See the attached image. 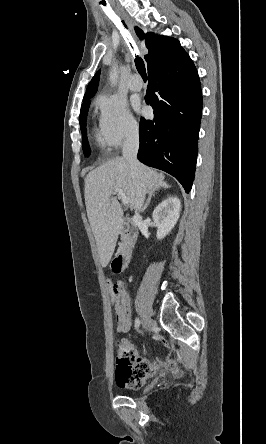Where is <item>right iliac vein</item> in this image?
Listing matches in <instances>:
<instances>
[{
	"instance_id": "1",
	"label": "right iliac vein",
	"mask_w": 266,
	"mask_h": 444,
	"mask_svg": "<svg viewBox=\"0 0 266 444\" xmlns=\"http://www.w3.org/2000/svg\"><path fill=\"white\" fill-rule=\"evenodd\" d=\"M142 327L144 330H148L150 328V319L148 317H144L142 320Z\"/></svg>"
}]
</instances>
